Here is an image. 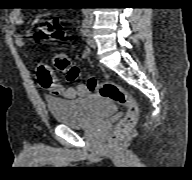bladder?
I'll use <instances>...</instances> for the list:
<instances>
[{
	"label": "bladder",
	"instance_id": "bladder-1",
	"mask_svg": "<svg viewBox=\"0 0 192 180\" xmlns=\"http://www.w3.org/2000/svg\"><path fill=\"white\" fill-rule=\"evenodd\" d=\"M47 106L56 123L72 128L88 127L117 110L110 100L91 95L71 100L48 98Z\"/></svg>",
	"mask_w": 192,
	"mask_h": 180
}]
</instances>
